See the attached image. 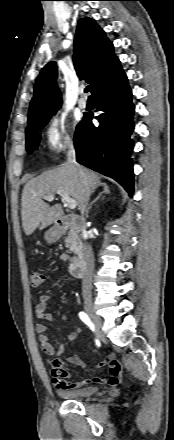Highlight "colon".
Here are the masks:
<instances>
[{
    "label": "colon",
    "mask_w": 174,
    "mask_h": 440,
    "mask_svg": "<svg viewBox=\"0 0 174 440\" xmlns=\"http://www.w3.org/2000/svg\"><path fill=\"white\" fill-rule=\"evenodd\" d=\"M44 273L41 270H32L30 273V283L33 287H39L44 283Z\"/></svg>",
    "instance_id": "5ec220e1"
}]
</instances>
